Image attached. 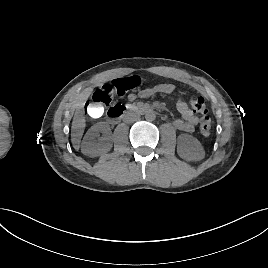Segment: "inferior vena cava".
<instances>
[{"label": "inferior vena cava", "instance_id": "inferior-vena-cava-1", "mask_svg": "<svg viewBox=\"0 0 268 268\" xmlns=\"http://www.w3.org/2000/svg\"><path fill=\"white\" fill-rule=\"evenodd\" d=\"M139 118H140L139 115L136 114L135 112H128L124 115L123 119L126 123H132L139 120Z\"/></svg>", "mask_w": 268, "mask_h": 268}]
</instances>
